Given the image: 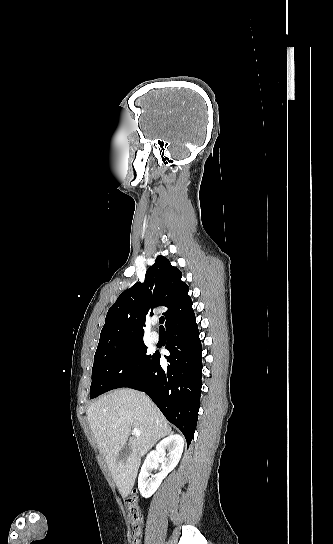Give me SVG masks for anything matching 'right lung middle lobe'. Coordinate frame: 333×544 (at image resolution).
I'll return each mask as SVG.
<instances>
[{
  "label": "right lung middle lobe",
  "mask_w": 333,
  "mask_h": 544,
  "mask_svg": "<svg viewBox=\"0 0 333 544\" xmlns=\"http://www.w3.org/2000/svg\"><path fill=\"white\" fill-rule=\"evenodd\" d=\"M142 338L117 337L99 341L92 368L91 399L109 390L127 387L141 378L154 356L147 354Z\"/></svg>",
  "instance_id": "1"
}]
</instances>
